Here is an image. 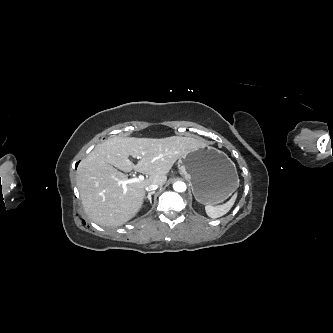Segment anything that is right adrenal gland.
I'll return each mask as SVG.
<instances>
[{
    "label": "right adrenal gland",
    "instance_id": "2a0ac1e0",
    "mask_svg": "<svg viewBox=\"0 0 333 333\" xmlns=\"http://www.w3.org/2000/svg\"><path fill=\"white\" fill-rule=\"evenodd\" d=\"M155 194V191L149 192L148 195L145 197V199H148L150 204L152 205V199L151 195Z\"/></svg>",
    "mask_w": 333,
    "mask_h": 333
}]
</instances>
